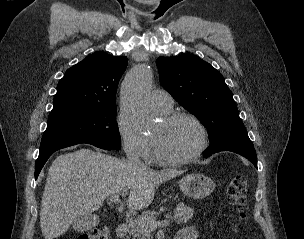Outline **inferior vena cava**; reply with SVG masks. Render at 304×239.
<instances>
[{"label":"inferior vena cava","mask_w":304,"mask_h":239,"mask_svg":"<svg viewBox=\"0 0 304 239\" xmlns=\"http://www.w3.org/2000/svg\"><path fill=\"white\" fill-rule=\"evenodd\" d=\"M127 160L134 167L144 166L141 163V160H140L139 156L136 153H134V152H131V151L128 152V154H127Z\"/></svg>","instance_id":"obj_1"}]
</instances>
